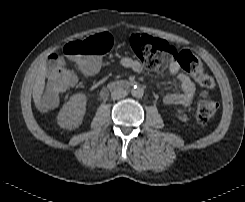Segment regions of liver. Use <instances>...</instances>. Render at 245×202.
I'll use <instances>...</instances> for the list:
<instances>
[{"instance_id":"6515ba94","label":"liver","mask_w":245,"mask_h":202,"mask_svg":"<svg viewBox=\"0 0 245 202\" xmlns=\"http://www.w3.org/2000/svg\"><path fill=\"white\" fill-rule=\"evenodd\" d=\"M46 63H42L38 67V74L34 84L33 98L36 105L40 108L41 95L45 87V78H46Z\"/></svg>"}]
</instances>
